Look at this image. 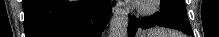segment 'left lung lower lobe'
Instances as JSON below:
<instances>
[{
	"mask_svg": "<svg viewBox=\"0 0 219 37\" xmlns=\"http://www.w3.org/2000/svg\"><path fill=\"white\" fill-rule=\"evenodd\" d=\"M163 26L168 28H173L179 31H182L183 33L194 37L192 30H188L170 17H167L165 15H162L161 13L157 12L153 14L150 17H147L145 19L142 18H135V16L129 15V26H128V37H135L136 31L139 28H148L152 26Z\"/></svg>",
	"mask_w": 219,
	"mask_h": 37,
	"instance_id": "0a47b994",
	"label": "left lung lower lobe"
}]
</instances>
